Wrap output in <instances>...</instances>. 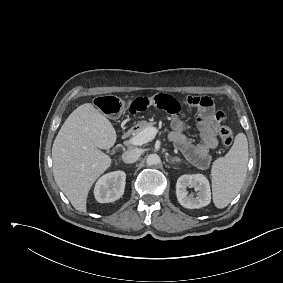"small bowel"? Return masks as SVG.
Segmentation results:
<instances>
[{"mask_svg": "<svg viewBox=\"0 0 283 283\" xmlns=\"http://www.w3.org/2000/svg\"><path fill=\"white\" fill-rule=\"evenodd\" d=\"M150 107L164 110L171 115L172 132L170 140L193 165L201 169L207 168L211 162L210 150L218 145L217 127L225 118L223 112H214L212 100L207 96H188L181 103L170 95L159 93L131 101L128 110L130 114L136 115ZM185 107L198 113L197 123L201 136L199 143L193 142L185 135Z\"/></svg>", "mask_w": 283, "mask_h": 283, "instance_id": "obj_1", "label": "small bowel"}]
</instances>
